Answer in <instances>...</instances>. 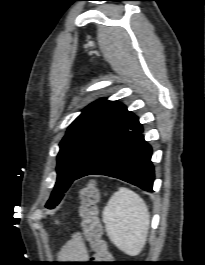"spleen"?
Wrapping results in <instances>:
<instances>
[{
	"instance_id": "3e777b00",
	"label": "spleen",
	"mask_w": 205,
	"mask_h": 265,
	"mask_svg": "<svg viewBox=\"0 0 205 265\" xmlns=\"http://www.w3.org/2000/svg\"><path fill=\"white\" fill-rule=\"evenodd\" d=\"M102 217L106 232L118 249L129 256L141 253L147 241L150 214L137 193L119 188L104 207Z\"/></svg>"
}]
</instances>
